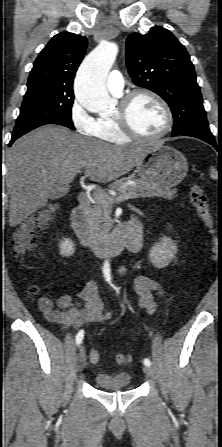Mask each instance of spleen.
I'll return each mask as SVG.
<instances>
[{
  "mask_svg": "<svg viewBox=\"0 0 222 447\" xmlns=\"http://www.w3.org/2000/svg\"><path fill=\"white\" fill-rule=\"evenodd\" d=\"M210 175L212 178L217 179V172L215 171V169H211Z\"/></svg>",
  "mask_w": 222,
  "mask_h": 447,
  "instance_id": "1",
  "label": "spleen"
}]
</instances>
